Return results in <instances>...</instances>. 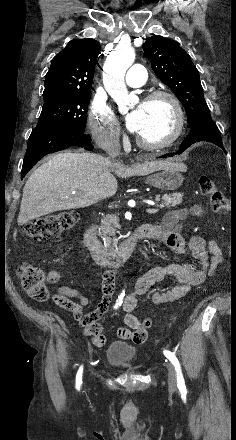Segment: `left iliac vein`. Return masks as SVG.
I'll return each mask as SVG.
<instances>
[{
	"label": "left iliac vein",
	"instance_id": "obj_1",
	"mask_svg": "<svg viewBox=\"0 0 236 440\" xmlns=\"http://www.w3.org/2000/svg\"><path fill=\"white\" fill-rule=\"evenodd\" d=\"M167 369H168V384H169V387L172 390H175L176 389V385H177V378H176L175 368H174L173 364L168 363L167 364Z\"/></svg>",
	"mask_w": 236,
	"mask_h": 440
}]
</instances>
